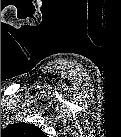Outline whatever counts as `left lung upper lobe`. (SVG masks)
<instances>
[{
    "label": "left lung upper lobe",
    "instance_id": "left-lung-upper-lobe-1",
    "mask_svg": "<svg viewBox=\"0 0 121 137\" xmlns=\"http://www.w3.org/2000/svg\"><path fill=\"white\" fill-rule=\"evenodd\" d=\"M2 134L14 136V137H41L44 135L42 130L37 126L28 123H14L7 126L1 131Z\"/></svg>",
    "mask_w": 121,
    "mask_h": 137
}]
</instances>
